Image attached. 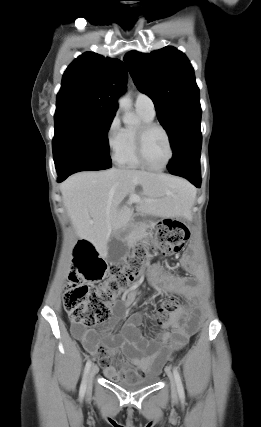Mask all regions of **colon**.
<instances>
[{"instance_id":"1","label":"colon","mask_w":261,"mask_h":427,"mask_svg":"<svg viewBox=\"0 0 261 427\" xmlns=\"http://www.w3.org/2000/svg\"><path fill=\"white\" fill-rule=\"evenodd\" d=\"M188 238L189 231L183 223L166 220L157 226L152 249L174 255L183 249ZM146 256L147 248L138 245L122 264L108 266L91 242L80 241L74 250V269L64 297L70 322L85 327L105 322L116 298L139 280ZM100 281L99 286L89 285ZM177 308L176 299L163 301L156 314L158 321L163 322Z\"/></svg>"}]
</instances>
